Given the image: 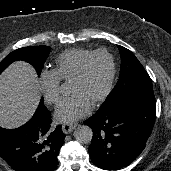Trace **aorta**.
<instances>
[{
  "label": "aorta",
  "instance_id": "762f6f07",
  "mask_svg": "<svg viewBox=\"0 0 171 171\" xmlns=\"http://www.w3.org/2000/svg\"><path fill=\"white\" fill-rule=\"evenodd\" d=\"M74 137L77 142L81 144H87L91 142L93 138V131L87 125H80L74 131Z\"/></svg>",
  "mask_w": 171,
  "mask_h": 171
}]
</instances>
